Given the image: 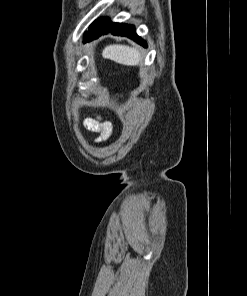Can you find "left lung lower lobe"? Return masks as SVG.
Wrapping results in <instances>:
<instances>
[{"instance_id": "0a47b994", "label": "left lung lower lobe", "mask_w": 247, "mask_h": 296, "mask_svg": "<svg viewBox=\"0 0 247 296\" xmlns=\"http://www.w3.org/2000/svg\"><path fill=\"white\" fill-rule=\"evenodd\" d=\"M108 33L117 36H127L146 47V41H143L136 34L135 27L133 25L113 23L109 18H100L94 21L89 27V30L85 33L84 42L97 39L98 37Z\"/></svg>"}]
</instances>
